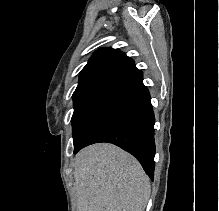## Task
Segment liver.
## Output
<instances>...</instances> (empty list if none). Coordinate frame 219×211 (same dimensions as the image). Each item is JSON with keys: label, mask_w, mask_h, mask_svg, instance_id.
<instances>
[{"label": "liver", "mask_w": 219, "mask_h": 211, "mask_svg": "<svg viewBox=\"0 0 219 211\" xmlns=\"http://www.w3.org/2000/svg\"><path fill=\"white\" fill-rule=\"evenodd\" d=\"M77 211H144L151 185L141 163L113 143H93L75 155Z\"/></svg>", "instance_id": "liver-1"}]
</instances>
